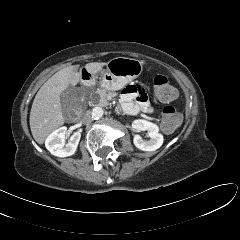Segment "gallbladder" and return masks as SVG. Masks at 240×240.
<instances>
[{"label":"gallbladder","instance_id":"bac80fb5","mask_svg":"<svg viewBox=\"0 0 240 240\" xmlns=\"http://www.w3.org/2000/svg\"><path fill=\"white\" fill-rule=\"evenodd\" d=\"M77 97L78 91L74 87L69 86L60 96L63 110L66 111L73 107Z\"/></svg>","mask_w":240,"mask_h":240}]
</instances>
